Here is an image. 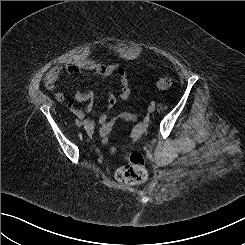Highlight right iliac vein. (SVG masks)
Listing matches in <instances>:
<instances>
[{
	"label": "right iliac vein",
	"mask_w": 245,
	"mask_h": 245,
	"mask_svg": "<svg viewBox=\"0 0 245 245\" xmlns=\"http://www.w3.org/2000/svg\"><path fill=\"white\" fill-rule=\"evenodd\" d=\"M82 125H83V123H82V122H80L78 126H79V127H81Z\"/></svg>",
	"instance_id": "63e3f726"
}]
</instances>
